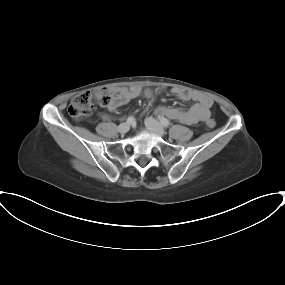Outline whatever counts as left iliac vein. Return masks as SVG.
<instances>
[{
    "instance_id": "1",
    "label": "left iliac vein",
    "mask_w": 285,
    "mask_h": 285,
    "mask_svg": "<svg viewBox=\"0 0 285 285\" xmlns=\"http://www.w3.org/2000/svg\"><path fill=\"white\" fill-rule=\"evenodd\" d=\"M145 125L152 133L158 136L165 135V130L162 127V125L157 120H155L153 117L146 118Z\"/></svg>"
}]
</instances>
